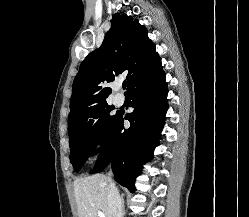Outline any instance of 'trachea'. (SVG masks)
<instances>
[{
  "instance_id": "3493384b",
  "label": "trachea",
  "mask_w": 249,
  "mask_h": 217,
  "mask_svg": "<svg viewBox=\"0 0 249 217\" xmlns=\"http://www.w3.org/2000/svg\"><path fill=\"white\" fill-rule=\"evenodd\" d=\"M122 87H123V89L126 88V83L125 82L122 84Z\"/></svg>"
}]
</instances>
